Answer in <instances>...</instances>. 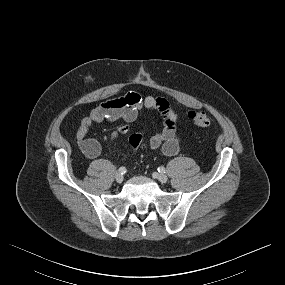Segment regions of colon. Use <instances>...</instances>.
Instances as JSON below:
<instances>
[{"instance_id": "obj_1", "label": "colon", "mask_w": 285, "mask_h": 285, "mask_svg": "<svg viewBox=\"0 0 285 285\" xmlns=\"http://www.w3.org/2000/svg\"><path fill=\"white\" fill-rule=\"evenodd\" d=\"M188 117L190 121L198 127H207L210 124L208 115L202 111H191Z\"/></svg>"}]
</instances>
